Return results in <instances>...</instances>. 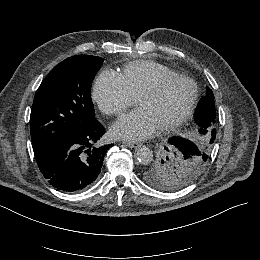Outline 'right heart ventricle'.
Instances as JSON below:
<instances>
[{
	"label": "right heart ventricle",
	"instance_id": "e07e8e85",
	"mask_svg": "<svg viewBox=\"0 0 260 260\" xmlns=\"http://www.w3.org/2000/svg\"><path fill=\"white\" fill-rule=\"evenodd\" d=\"M176 73L161 63L133 62L122 70L119 77L130 95L136 98L142 89L152 84L153 80Z\"/></svg>",
	"mask_w": 260,
	"mask_h": 260
}]
</instances>
